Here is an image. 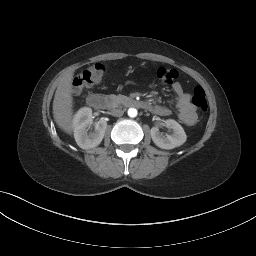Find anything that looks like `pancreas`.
Instances as JSON below:
<instances>
[{"mask_svg":"<svg viewBox=\"0 0 256 256\" xmlns=\"http://www.w3.org/2000/svg\"><path fill=\"white\" fill-rule=\"evenodd\" d=\"M107 98L109 99L110 104L112 106H117V105L122 104L125 101L129 100V98L127 96H124V95H114V94L108 95Z\"/></svg>","mask_w":256,"mask_h":256,"instance_id":"1","label":"pancreas"}]
</instances>
